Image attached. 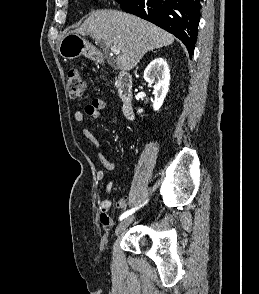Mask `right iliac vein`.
Returning a JSON list of instances; mask_svg holds the SVG:
<instances>
[{
    "label": "right iliac vein",
    "mask_w": 259,
    "mask_h": 294,
    "mask_svg": "<svg viewBox=\"0 0 259 294\" xmlns=\"http://www.w3.org/2000/svg\"><path fill=\"white\" fill-rule=\"evenodd\" d=\"M135 216H129L119 223L116 228V235L124 231L134 220Z\"/></svg>",
    "instance_id": "obj_1"
}]
</instances>
